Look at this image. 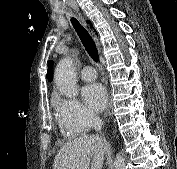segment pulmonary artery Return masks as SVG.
Listing matches in <instances>:
<instances>
[{
  "instance_id": "1",
  "label": "pulmonary artery",
  "mask_w": 177,
  "mask_h": 169,
  "mask_svg": "<svg viewBox=\"0 0 177 169\" xmlns=\"http://www.w3.org/2000/svg\"><path fill=\"white\" fill-rule=\"evenodd\" d=\"M80 77L83 81L90 82L97 78V72L92 66H85L80 72Z\"/></svg>"
}]
</instances>
